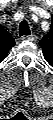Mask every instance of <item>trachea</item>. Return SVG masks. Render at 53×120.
I'll list each match as a JSON object with an SVG mask.
<instances>
[{"instance_id": "1", "label": "trachea", "mask_w": 53, "mask_h": 120, "mask_svg": "<svg viewBox=\"0 0 53 120\" xmlns=\"http://www.w3.org/2000/svg\"><path fill=\"white\" fill-rule=\"evenodd\" d=\"M30 34H31V31L29 29V25L27 21L23 20L19 26V35L23 36V35H30Z\"/></svg>"}]
</instances>
